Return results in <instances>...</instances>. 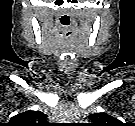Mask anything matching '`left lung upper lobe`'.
<instances>
[{
  "instance_id": "5c2ea615",
  "label": "left lung upper lobe",
  "mask_w": 135,
  "mask_h": 126,
  "mask_svg": "<svg viewBox=\"0 0 135 126\" xmlns=\"http://www.w3.org/2000/svg\"><path fill=\"white\" fill-rule=\"evenodd\" d=\"M89 118L97 124L109 123V116L105 113H94L89 116Z\"/></svg>"
}]
</instances>
